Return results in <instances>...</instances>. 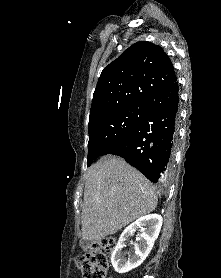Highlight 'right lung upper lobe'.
Wrapping results in <instances>:
<instances>
[{"label":"right lung upper lobe","mask_w":221,"mask_h":278,"mask_svg":"<svg viewBox=\"0 0 221 278\" xmlns=\"http://www.w3.org/2000/svg\"><path fill=\"white\" fill-rule=\"evenodd\" d=\"M176 80L173 64L163 49L139 41L102 71L89 120L129 103L146 101L149 95Z\"/></svg>","instance_id":"obj_1"}]
</instances>
